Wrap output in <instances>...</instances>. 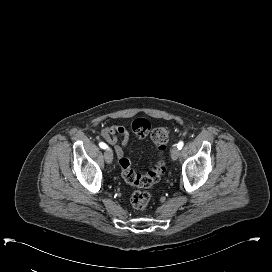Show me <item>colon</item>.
<instances>
[{
    "instance_id": "colon-1",
    "label": "colon",
    "mask_w": 272,
    "mask_h": 272,
    "mask_svg": "<svg viewBox=\"0 0 272 272\" xmlns=\"http://www.w3.org/2000/svg\"><path fill=\"white\" fill-rule=\"evenodd\" d=\"M132 130L138 139L150 137L152 142L163 151L166 149L170 138V129L167 126L152 127L151 122L145 118H136L132 122ZM121 175L129 183L141 187L150 188L156 184L165 172V162L158 160L145 175H138L134 172L131 160L123 156L119 161ZM150 196L146 191H136L131 196V206L136 211H144L148 207Z\"/></svg>"
}]
</instances>
